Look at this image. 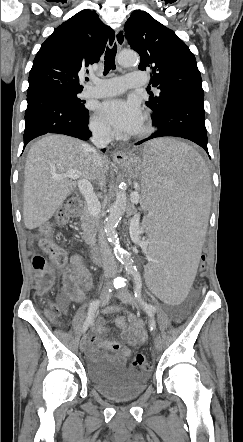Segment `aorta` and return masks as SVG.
<instances>
[{
    "mask_svg": "<svg viewBox=\"0 0 243 442\" xmlns=\"http://www.w3.org/2000/svg\"><path fill=\"white\" fill-rule=\"evenodd\" d=\"M118 63L122 68L135 67L138 63V58L133 52L123 51L118 57ZM127 206V193L124 185L119 187L116 191V196L113 204L109 208V215L104 221V234L114 246L120 260L125 263L128 271L133 270L132 260L130 254L120 247L119 238L116 232V227L125 213Z\"/></svg>",
    "mask_w": 243,
    "mask_h": 442,
    "instance_id": "obj_1",
    "label": "aorta"
}]
</instances>
